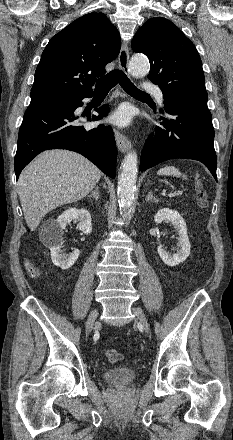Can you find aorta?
<instances>
[{
    "label": "aorta",
    "mask_w": 233,
    "mask_h": 440,
    "mask_svg": "<svg viewBox=\"0 0 233 440\" xmlns=\"http://www.w3.org/2000/svg\"><path fill=\"white\" fill-rule=\"evenodd\" d=\"M149 61L142 54L134 55L129 62V70L136 78L144 77L149 72ZM138 156L130 151L124 158L118 181V202L120 213L127 216L131 210L136 188Z\"/></svg>",
    "instance_id": "762f6f07"
}]
</instances>
